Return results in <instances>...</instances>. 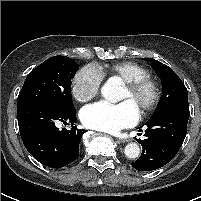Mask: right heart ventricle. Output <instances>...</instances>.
Masks as SVG:
<instances>
[{
	"label": "right heart ventricle",
	"mask_w": 201,
	"mask_h": 201,
	"mask_svg": "<svg viewBox=\"0 0 201 201\" xmlns=\"http://www.w3.org/2000/svg\"><path fill=\"white\" fill-rule=\"evenodd\" d=\"M103 76L116 77L123 82L135 80L149 75L147 69L132 61H121L97 68Z\"/></svg>",
	"instance_id": "1"
}]
</instances>
